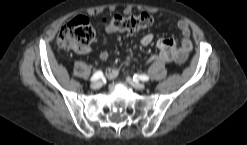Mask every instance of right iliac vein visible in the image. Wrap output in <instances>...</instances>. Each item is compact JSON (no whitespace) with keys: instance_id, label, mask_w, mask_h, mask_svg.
<instances>
[{"instance_id":"63e3f726","label":"right iliac vein","mask_w":247,"mask_h":145,"mask_svg":"<svg viewBox=\"0 0 247 145\" xmlns=\"http://www.w3.org/2000/svg\"><path fill=\"white\" fill-rule=\"evenodd\" d=\"M102 86V82L101 81H95L93 82L90 87L94 90L99 89Z\"/></svg>"}]
</instances>
